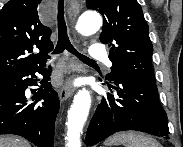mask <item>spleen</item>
Segmentation results:
<instances>
[{
    "instance_id": "spleen-1",
    "label": "spleen",
    "mask_w": 183,
    "mask_h": 147,
    "mask_svg": "<svg viewBox=\"0 0 183 147\" xmlns=\"http://www.w3.org/2000/svg\"><path fill=\"white\" fill-rule=\"evenodd\" d=\"M124 145L125 147H161L152 137L137 132H122L113 135L105 142V146Z\"/></svg>"
}]
</instances>
